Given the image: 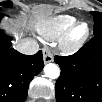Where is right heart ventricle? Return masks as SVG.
<instances>
[{"instance_id":"e07e8e85","label":"right heart ventricle","mask_w":102,"mask_h":102,"mask_svg":"<svg viewBox=\"0 0 102 102\" xmlns=\"http://www.w3.org/2000/svg\"><path fill=\"white\" fill-rule=\"evenodd\" d=\"M74 23V17L69 15H60L42 23L38 32L45 39L53 40L63 35Z\"/></svg>"}]
</instances>
